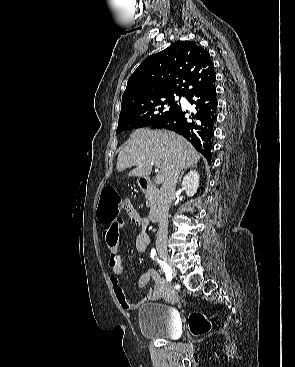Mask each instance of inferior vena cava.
Returning a JSON list of instances; mask_svg holds the SVG:
<instances>
[{
    "mask_svg": "<svg viewBox=\"0 0 295 367\" xmlns=\"http://www.w3.org/2000/svg\"><path fill=\"white\" fill-rule=\"evenodd\" d=\"M181 168L175 166L171 169L160 188L159 229L156 235V246H166L168 239V213L175 193Z\"/></svg>",
    "mask_w": 295,
    "mask_h": 367,
    "instance_id": "inferior-vena-cava-1",
    "label": "inferior vena cava"
}]
</instances>
